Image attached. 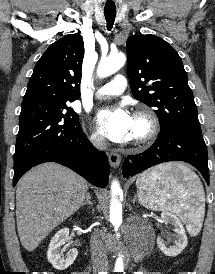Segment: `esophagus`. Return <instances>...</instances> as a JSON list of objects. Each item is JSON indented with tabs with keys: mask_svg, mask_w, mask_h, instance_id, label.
I'll use <instances>...</instances> for the list:
<instances>
[{
	"mask_svg": "<svg viewBox=\"0 0 215 274\" xmlns=\"http://www.w3.org/2000/svg\"><path fill=\"white\" fill-rule=\"evenodd\" d=\"M108 158L110 165L114 168L118 167L121 163V156L116 152H111Z\"/></svg>",
	"mask_w": 215,
	"mask_h": 274,
	"instance_id": "34e87169",
	"label": "esophagus"
}]
</instances>
